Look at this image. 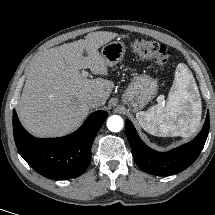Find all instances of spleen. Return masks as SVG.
Returning a JSON list of instances; mask_svg holds the SVG:
<instances>
[{"label":"spleen","instance_id":"1","mask_svg":"<svg viewBox=\"0 0 215 215\" xmlns=\"http://www.w3.org/2000/svg\"><path fill=\"white\" fill-rule=\"evenodd\" d=\"M142 128L160 137H191L200 125L201 100L189 68L180 63L166 103L158 102L147 111L136 114Z\"/></svg>","mask_w":215,"mask_h":215}]
</instances>
